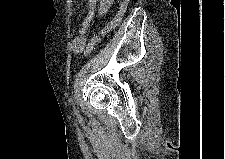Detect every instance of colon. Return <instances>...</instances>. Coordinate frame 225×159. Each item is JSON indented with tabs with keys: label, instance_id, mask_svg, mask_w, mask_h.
Listing matches in <instances>:
<instances>
[{
	"label": "colon",
	"instance_id": "colon-1",
	"mask_svg": "<svg viewBox=\"0 0 225 159\" xmlns=\"http://www.w3.org/2000/svg\"><path fill=\"white\" fill-rule=\"evenodd\" d=\"M127 7H128V0H123L115 16L105 25V27L98 34H96L92 38V40L86 46L84 51L86 56H89L94 51L96 46L117 27L119 22L122 20L127 10Z\"/></svg>",
	"mask_w": 225,
	"mask_h": 159
}]
</instances>
